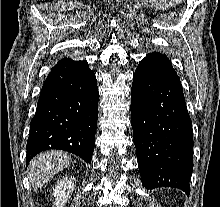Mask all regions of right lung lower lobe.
Masks as SVG:
<instances>
[{"instance_id":"98d812e1","label":"right lung lower lobe","mask_w":220,"mask_h":207,"mask_svg":"<svg viewBox=\"0 0 220 207\" xmlns=\"http://www.w3.org/2000/svg\"><path fill=\"white\" fill-rule=\"evenodd\" d=\"M98 118L96 77L85 60L62 58L48 74L30 123L27 164L38 153L59 149L90 163Z\"/></svg>"}]
</instances>
